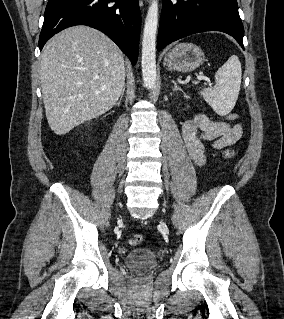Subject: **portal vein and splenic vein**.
Segmentation results:
<instances>
[{"label":"portal vein and splenic vein","mask_w":284,"mask_h":319,"mask_svg":"<svg viewBox=\"0 0 284 319\" xmlns=\"http://www.w3.org/2000/svg\"><path fill=\"white\" fill-rule=\"evenodd\" d=\"M197 80H198V81L205 80V81H207V82H210V80H209L207 77L202 76V75H198V76H197Z\"/></svg>","instance_id":"obj_1"}]
</instances>
